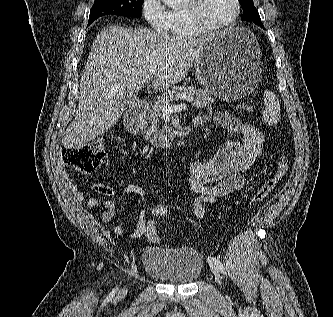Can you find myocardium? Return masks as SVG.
<instances>
[{
  "instance_id": "1",
  "label": "myocardium",
  "mask_w": 333,
  "mask_h": 317,
  "mask_svg": "<svg viewBox=\"0 0 333 317\" xmlns=\"http://www.w3.org/2000/svg\"><path fill=\"white\" fill-rule=\"evenodd\" d=\"M235 5V11L231 18L220 24H210L203 19L202 16V4L203 0H185L183 8L190 23L202 33H210L219 30L226 29L233 25L240 16L241 3L240 0H233Z\"/></svg>"
}]
</instances>
